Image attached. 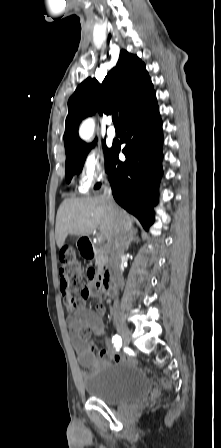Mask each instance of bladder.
Returning a JSON list of instances; mask_svg holds the SVG:
<instances>
[{
    "instance_id": "obj_1",
    "label": "bladder",
    "mask_w": 221,
    "mask_h": 448,
    "mask_svg": "<svg viewBox=\"0 0 221 448\" xmlns=\"http://www.w3.org/2000/svg\"><path fill=\"white\" fill-rule=\"evenodd\" d=\"M81 382L90 398L109 405L136 401L152 392L150 378L143 370L120 363L103 366Z\"/></svg>"
}]
</instances>
